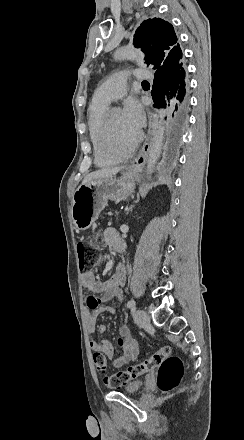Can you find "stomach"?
Wrapping results in <instances>:
<instances>
[{
  "label": "stomach",
  "mask_w": 244,
  "mask_h": 440,
  "mask_svg": "<svg viewBox=\"0 0 244 440\" xmlns=\"http://www.w3.org/2000/svg\"><path fill=\"white\" fill-rule=\"evenodd\" d=\"M129 170L122 172L121 178L91 180L86 186H78L72 196L71 218L76 230H88L97 220L108 200L120 202L131 196L135 188V178Z\"/></svg>",
  "instance_id": "1"
}]
</instances>
